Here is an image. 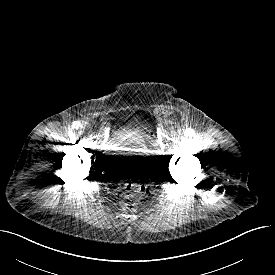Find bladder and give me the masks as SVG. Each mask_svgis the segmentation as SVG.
<instances>
[{"mask_svg": "<svg viewBox=\"0 0 275 275\" xmlns=\"http://www.w3.org/2000/svg\"><path fill=\"white\" fill-rule=\"evenodd\" d=\"M143 128L115 130L109 139L106 164L120 178H142L150 174L158 161L155 140Z\"/></svg>", "mask_w": 275, "mask_h": 275, "instance_id": "obj_1", "label": "bladder"}]
</instances>
